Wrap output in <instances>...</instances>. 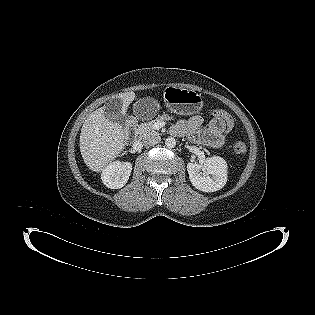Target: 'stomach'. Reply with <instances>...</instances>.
I'll return each mask as SVG.
<instances>
[{"label": "stomach", "instance_id": "1", "mask_svg": "<svg viewBox=\"0 0 315 315\" xmlns=\"http://www.w3.org/2000/svg\"><path fill=\"white\" fill-rule=\"evenodd\" d=\"M166 107L179 115H193L203 107V99L196 91L176 86H168L164 91Z\"/></svg>", "mask_w": 315, "mask_h": 315}]
</instances>
